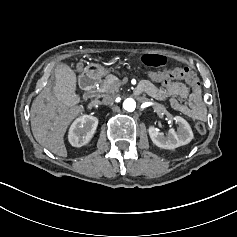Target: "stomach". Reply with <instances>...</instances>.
Instances as JSON below:
<instances>
[{"instance_id": "1", "label": "stomach", "mask_w": 237, "mask_h": 237, "mask_svg": "<svg viewBox=\"0 0 237 237\" xmlns=\"http://www.w3.org/2000/svg\"><path fill=\"white\" fill-rule=\"evenodd\" d=\"M97 69H98V72H97L98 77H102L107 74V70H105L103 67L97 66Z\"/></svg>"}]
</instances>
